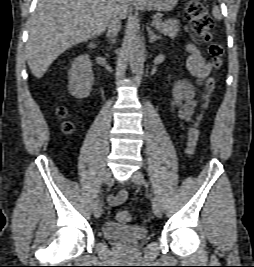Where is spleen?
<instances>
[{
	"label": "spleen",
	"instance_id": "1",
	"mask_svg": "<svg viewBox=\"0 0 254 267\" xmlns=\"http://www.w3.org/2000/svg\"><path fill=\"white\" fill-rule=\"evenodd\" d=\"M212 14H213V16H214L216 19H218V20H220V19L222 18V15H221V13H220V10L218 9L217 6H214V7H213V9H212Z\"/></svg>",
	"mask_w": 254,
	"mask_h": 267
}]
</instances>
